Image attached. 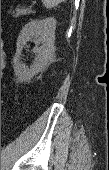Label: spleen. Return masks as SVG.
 <instances>
[{"instance_id":"obj_1","label":"spleen","mask_w":109,"mask_h":170,"mask_svg":"<svg viewBox=\"0 0 109 170\" xmlns=\"http://www.w3.org/2000/svg\"><path fill=\"white\" fill-rule=\"evenodd\" d=\"M64 1H66V0H42L43 4L46 7H54V6H56L59 3L64 2Z\"/></svg>"}]
</instances>
